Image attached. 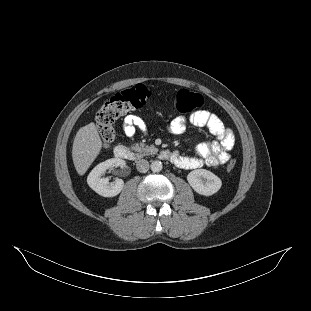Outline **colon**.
Listing matches in <instances>:
<instances>
[{
    "label": "colon",
    "instance_id": "5ec220e1",
    "mask_svg": "<svg viewBox=\"0 0 311 311\" xmlns=\"http://www.w3.org/2000/svg\"><path fill=\"white\" fill-rule=\"evenodd\" d=\"M150 98V90L139 84L115 94L103 103L96 113L95 120L104 147H109L114 141V122L128 112L144 107ZM202 104V96L188 89L179 90L175 97V107L182 114L190 113ZM235 166L236 160L230 159L226 168L231 171Z\"/></svg>",
    "mask_w": 311,
    "mask_h": 311
}]
</instances>
